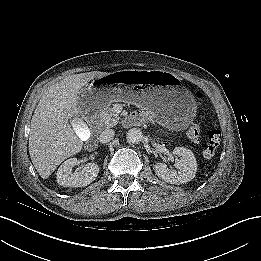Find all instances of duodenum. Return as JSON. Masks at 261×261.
<instances>
[{
    "mask_svg": "<svg viewBox=\"0 0 261 261\" xmlns=\"http://www.w3.org/2000/svg\"><path fill=\"white\" fill-rule=\"evenodd\" d=\"M89 125L95 132H98L99 128H100V120H99V118L97 116L91 117L89 119ZM95 144H96L95 140H92L90 142L91 146H94Z\"/></svg>",
    "mask_w": 261,
    "mask_h": 261,
    "instance_id": "obj_1",
    "label": "duodenum"
}]
</instances>
